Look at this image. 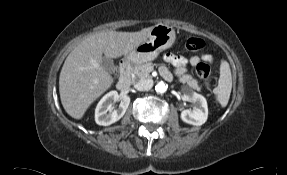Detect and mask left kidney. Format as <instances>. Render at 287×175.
Wrapping results in <instances>:
<instances>
[{"mask_svg":"<svg viewBox=\"0 0 287 175\" xmlns=\"http://www.w3.org/2000/svg\"><path fill=\"white\" fill-rule=\"evenodd\" d=\"M186 100L194 104L192 110H183L181 112V119L188 124L200 126L204 124L208 117V105L204 96L189 92L185 95Z\"/></svg>","mask_w":287,"mask_h":175,"instance_id":"left-kidney-1","label":"left kidney"}]
</instances>
